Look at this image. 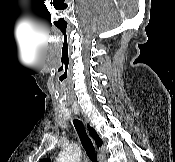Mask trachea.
Returning <instances> with one entry per match:
<instances>
[{
    "instance_id": "1",
    "label": "trachea",
    "mask_w": 175,
    "mask_h": 162,
    "mask_svg": "<svg viewBox=\"0 0 175 162\" xmlns=\"http://www.w3.org/2000/svg\"><path fill=\"white\" fill-rule=\"evenodd\" d=\"M73 124L90 161L97 162V154H96L94 145L89 135L87 134L83 123L78 119H74Z\"/></svg>"
}]
</instances>
